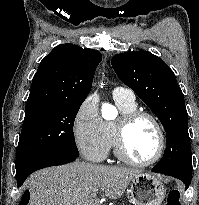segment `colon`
Here are the masks:
<instances>
[{
  "label": "colon",
  "instance_id": "5ec220e1",
  "mask_svg": "<svg viewBox=\"0 0 199 205\" xmlns=\"http://www.w3.org/2000/svg\"><path fill=\"white\" fill-rule=\"evenodd\" d=\"M165 205H181V193L178 189H171L166 198Z\"/></svg>",
  "mask_w": 199,
  "mask_h": 205
}]
</instances>
